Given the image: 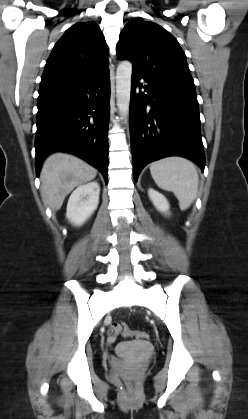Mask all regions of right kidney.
I'll return each instance as SVG.
<instances>
[{"label":"right kidney","mask_w":248,"mask_h":419,"mask_svg":"<svg viewBox=\"0 0 248 419\" xmlns=\"http://www.w3.org/2000/svg\"><path fill=\"white\" fill-rule=\"evenodd\" d=\"M100 186L98 182H89L79 186L71 194L66 217L75 226L84 224L94 213L99 203Z\"/></svg>","instance_id":"right-kidney-1"}]
</instances>
